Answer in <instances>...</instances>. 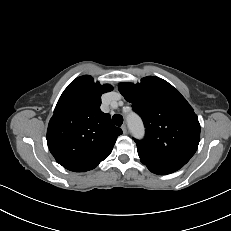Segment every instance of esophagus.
<instances>
[{
  "label": "esophagus",
  "mask_w": 231,
  "mask_h": 231,
  "mask_svg": "<svg viewBox=\"0 0 231 231\" xmlns=\"http://www.w3.org/2000/svg\"><path fill=\"white\" fill-rule=\"evenodd\" d=\"M121 128H122L123 133L127 134V126L124 124V125H122Z\"/></svg>",
  "instance_id": "esophagus-1"
}]
</instances>
